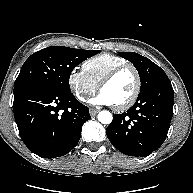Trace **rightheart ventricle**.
Masks as SVG:
<instances>
[{"label": "right heart ventricle", "mask_w": 193, "mask_h": 193, "mask_svg": "<svg viewBox=\"0 0 193 193\" xmlns=\"http://www.w3.org/2000/svg\"><path fill=\"white\" fill-rule=\"evenodd\" d=\"M127 63L129 62L123 57L103 53L85 60L82 64V71L95 85H98L108 72Z\"/></svg>", "instance_id": "1"}]
</instances>
